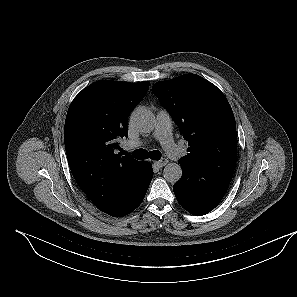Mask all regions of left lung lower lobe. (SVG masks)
I'll list each match as a JSON object with an SVG mask.
<instances>
[{
    "instance_id": "left-lung-lower-lobe-1",
    "label": "left lung lower lobe",
    "mask_w": 297,
    "mask_h": 297,
    "mask_svg": "<svg viewBox=\"0 0 297 297\" xmlns=\"http://www.w3.org/2000/svg\"><path fill=\"white\" fill-rule=\"evenodd\" d=\"M183 174L173 190L182 207L193 215H205L213 210L224 197L228 185H221L210 190L195 189L192 186L193 175L182 168Z\"/></svg>"
}]
</instances>
